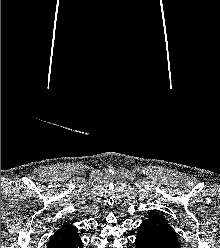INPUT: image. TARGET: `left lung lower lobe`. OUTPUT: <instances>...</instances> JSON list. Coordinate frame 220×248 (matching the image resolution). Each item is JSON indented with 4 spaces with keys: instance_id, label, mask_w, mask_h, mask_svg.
Here are the masks:
<instances>
[{
    "instance_id": "obj_1",
    "label": "left lung lower lobe",
    "mask_w": 220,
    "mask_h": 248,
    "mask_svg": "<svg viewBox=\"0 0 220 248\" xmlns=\"http://www.w3.org/2000/svg\"><path fill=\"white\" fill-rule=\"evenodd\" d=\"M136 248H171L158 240L145 226L140 225L135 239Z\"/></svg>"
}]
</instances>
